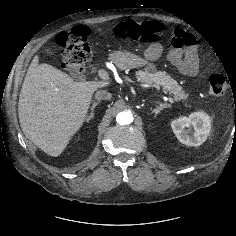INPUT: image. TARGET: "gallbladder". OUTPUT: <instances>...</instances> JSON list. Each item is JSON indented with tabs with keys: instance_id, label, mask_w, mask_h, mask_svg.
<instances>
[{
	"instance_id": "obj_1",
	"label": "gallbladder",
	"mask_w": 236,
	"mask_h": 236,
	"mask_svg": "<svg viewBox=\"0 0 236 236\" xmlns=\"http://www.w3.org/2000/svg\"><path fill=\"white\" fill-rule=\"evenodd\" d=\"M44 52L47 55H50V56H54L55 55V52L51 48H49V47H45L44 48ZM71 74L76 79H81L82 78V74L79 71H77V70H73Z\"/></svg>"
}]
</instances>
